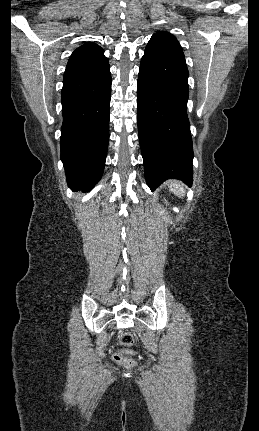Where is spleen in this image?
Instances as JSON below:
<instances>
[{"label":"spleen","instance_id":"spleen-1","mask_svg":"<svg viewBox=\"0 0 259 431\" xmlns=\"http://www.w3.org/2000/svg\"><path fill=\"white\" fill-rule=\"evenodd\" d=\"M169 190L178 197H183L185 195L184 185L177 180H172L168 182Z\"/></svg>","mask_w":259,"mask_h":431}]
</instances>
